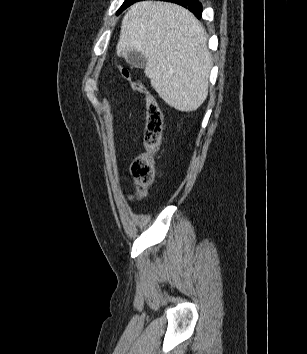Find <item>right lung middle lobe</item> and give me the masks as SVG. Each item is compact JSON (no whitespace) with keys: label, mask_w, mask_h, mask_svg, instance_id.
<instances>
[{"label":"right lung middle lobe","mask_w":307,"mask_h":354,"mask_svg":"<svg viewBox=\"0 0 307 354\" xmlns=\"http://www.w3.org/2000/svg\"><path fill=\"white\" fill-rule=\"evenodd\" d=\"M137 2V0H125V2L122 4V6L118 10V14L121 13L124 9H126L128 6L131 4Z\"/></svg>","instance_id":"right-lung-middle-lobe-1"}]
</instances>
